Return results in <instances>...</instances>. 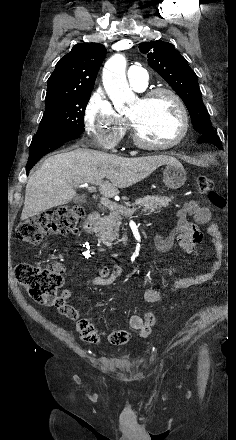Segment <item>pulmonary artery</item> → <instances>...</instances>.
Listing matches in <instances>:
<instances>
[{
	"instance_id": "1",
	"label": "pulmonary artery",
	"mask_w": 236,
	"mask_h": 440,
	"mask_svg": "<svg viewBox=\"0 0 236 440\" xmlns=\"http://www.w3.org/2000/svg\"><path fill=\"white\" fill-rule=\"evenodd\" d=\"M129 84L136 90H143L148 83V72L140 65H133L128 70Z\"/></svg>"
}]
</instances>
